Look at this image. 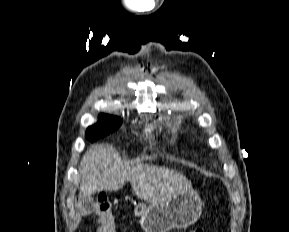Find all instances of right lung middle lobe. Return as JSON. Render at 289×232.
<instances>
[{"mask_svg": "<svg viewBox=\"0 0 289 232\" xmlns=\"http://www.w3.org/2000/svg\"><path fill=\"white\" fill-rule=\"evenodd\" d=\"M122 121L119 117L101 114L97 124L90 126L86 131V138L94 142L119 128Z\"/></svg>", "mask_w": 289, "mask_h": 232, "instance_id": "1", "label": "right lung middle lobe"}]
</instances>
